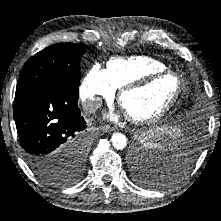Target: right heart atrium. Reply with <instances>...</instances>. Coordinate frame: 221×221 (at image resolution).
Masks as SVG:
<instances>
[{"mask_svg":"<svg viewBox=\"0 0 221 221\" xmlns=\"http://www.w3.org/2000/svg\"><path fill=\"white\" fill-rule=\"evenodd\" d=\"M116 88L107 77L105 69L93 65L85 74L80 86V99L87 111H95L102 100L112 99Z\"/></svg>","mask_w":221,"mask_h":221,"instance_id":"obj_1","label":"right heart atrium"}]
</instances>
